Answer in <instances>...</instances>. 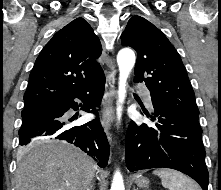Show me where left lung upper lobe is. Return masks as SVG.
I'll use <instances>...</instances> for the list:
<instances>
[{
  "label": "left lung upper lobe",
  "instance_id": "5c2ea615",
  "mask_svg": "<svg viewBox=\"0 0 221 190\" xmlns=\"http://www.w3.org/2000/svg\"><path fill=\"white\" fill-rule=\"evenodd\" d=\"M121 43L137 51L134 81L145 82L154 105L198 119L195 94L182 60L157 27L134 15L121 35Z\"/></svg>",
  "mask_w": 221,
  "mask_h": 190
}]
</instances>
